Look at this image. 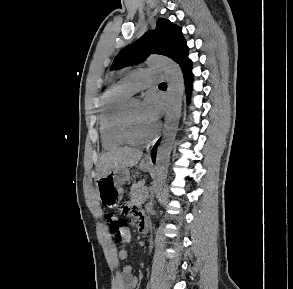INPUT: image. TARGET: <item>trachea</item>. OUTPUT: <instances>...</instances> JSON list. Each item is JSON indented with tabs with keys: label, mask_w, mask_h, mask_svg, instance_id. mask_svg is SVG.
Wrapping results in <instances>:
<instances>
[{
	"label": "trachea",
	"mask_w": 293,
	"mask_h": 289,
	"mask_svg": "<svg viewBox=\"0 0 293 289\" xmlns=\"http://www.w3.org/2000/svg\"><path fill=\"white\" fill-rule=\"evenodd\" d=\"M159 86H167V84L165 82H162L159 84Z\"/></svg>",
	"instance_id": "3493384b"
}]
</instances>
